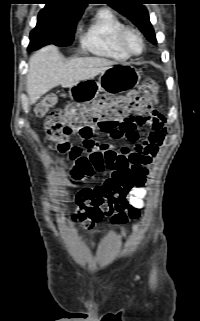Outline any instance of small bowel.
<instances>
[{
	"mask_svg": "<svg viewBox=\"0 0 200 321\" xmlns=\"http://www.w3.org/2000/svg\"><path fill=\"white\" fill-rule=\"evenodd\" d=\"M147 126L149 132L141 137L139 128ZM99 133H106L112 140L123 142L118 148L112 143H101L94 138ZM165 140V118L154 110L148 114L133 116L120 121L116 126L102 130L98 129L88 134L81 135V147H74L70 152L73 159L81 152H99L103 155H113L128 161L139 179V185L131 190L128 204L123 210L110 216V221L115 225H124L129 220L137 219L144 206L147 196L145 187L146 177L149 174V165L157 155L159 148Z\"/></svg>",
	"mask_w": 200,
	"mask_h": 321,
	"instance_id": "obj_1",
	"label": "small bowel"
}]
</instances>
